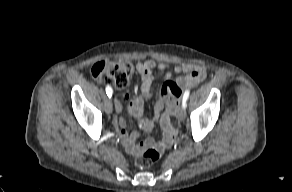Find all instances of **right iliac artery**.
<instances>
[{"mask_svg": "<svg viewBox=\"0 0 292 192\" xmlns=\"http://www.w3.org/2000/svg\"><path fill=\"white\" fill-rule=\"evenodd\" d=\"M106 93H107L109 98L112 97L113 90H112V88L110 86H106Z\"/></svg>", "mask_w": 292, "mask_h": 192, "instance_id": "82829eb1", "label": "right iliac artery"}]
</instances>
